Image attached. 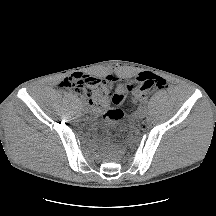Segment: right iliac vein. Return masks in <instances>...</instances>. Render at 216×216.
<instances>
[{
    "label": "right iliac vein",
    "mask_w": 216,
    "mask_h": 216,
    "mask_svg": "<svg viewBox=\"0 0 216 216\" xmlns=\"http://www.w3.org/2000/svg\"><path fill=\"white\" fill-rule=\"evenodd\" d=\"M85 113V115L87 116V115H90V110H87V111H84Z\"/></svg>",
    "instance_id": "1"
}]
</instances>
